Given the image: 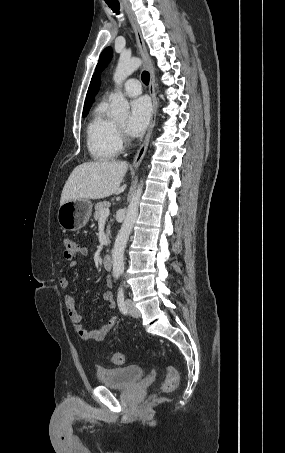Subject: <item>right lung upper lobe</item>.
I'll return each instance as SVG.
<instances>
[{"label": "right lung upper lobe", "instance_id": "cb5924a9", "mask_svg": "<svg viewBox=\"0 0 285 453\" xmlns=\"http://www.w3.org/2000/svg\"><path fill=\"white\" fill-rule=\"evenodd\" d=\"M100 84V76L95 73L91 79V83L86 95L83 112L89 111L91 104L93 103V98L97 94Z\"/></svg>", "mask_w": 285, "mask_h": 453}]
</instances>
